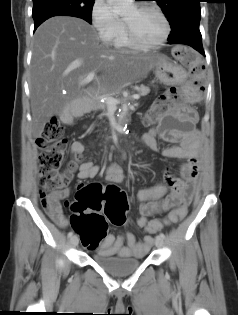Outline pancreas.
Masks as SVG:
<instances>
[{"label": "pancreas", "mask_w": 238, "mask_h": 315, "mask_svg": "<svg viewBox=\"0 0 238 315\" xmlns=\"http://www.w3.org/2000/svg\"><path fill=\"white\" fill-rule=\"evenodd\" d=\"M137 90L141 96H146L150 92L149 87H146L144 85L138 87Z\"/></svg>", "instance_id": "obj_1"}]
</instances>
